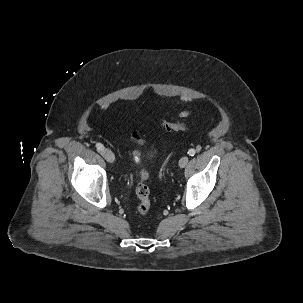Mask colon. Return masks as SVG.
<instances>
[{"instance_id":"5ec220e1","label":"colon","mask_w":303,"mask_h":303,"mask_svg":"<svg viewBox=\"0 0 303 303\" xmlns=\"http://www.w3.org/2000/svg\"><path fill=\"white\" fill-rule=\"evenodd\" d=\"M161 123L167 130H186V125L183 123L167 120H163ZM132 138L139 144H143L144 142L143 137H141L138 133H133ZM156 154L157 153L155 150H151L148 155L150 158H154ZM148 177V172L146 170H143L140 173V180L135 186V194L139 200L137 211L142 216L147 215L151 207L150 190L147 185Z\"/></svg>"}]
</instances>
